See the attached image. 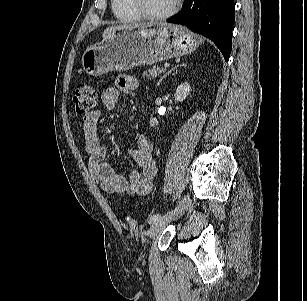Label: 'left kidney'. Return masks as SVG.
Listing matches in <instances>:
<instances>
[{
    "mask_svg": "<svg viewBox=\"0 0 307 301\" xmlns=\"http://www.w3.org/2000/svg\"><path fill=\"white\" fill-rule=\"evenodd\" d=\"M190 93V85L189 83L185 82L182 83L181 85H179L176 89L175 92V100L177 102H182L183 100L186 99V97L188 96V94ZM158 124V121L156 118H151L150 119V126L154 127L155 125Z\"/></svg>",
    "mask_w": 307,
    "mask_h": 301,
    "instance_id": "obj_1",
    "label": "left kidney"
}]
</instances>
